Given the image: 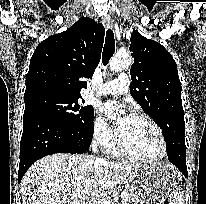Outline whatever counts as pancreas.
I'll return each instance as SVG.
<instances>
[{"instance_id":"pancreas-1","label":"pancreas","mask_w":206,"mask_h":204,"mask_svg":"<svg viewBox=\"0 0 206 204\" xmlns=\"http://www.w3.org/2000/svg\"><path fill=\"white\" fill-rule=\"evenodd\" d=\"M127 196L122 198V204H138V198L130 187L126 188Z\"/></svg>"}]
</instances>
